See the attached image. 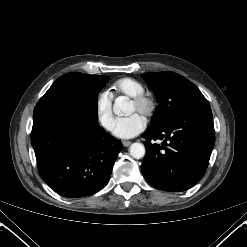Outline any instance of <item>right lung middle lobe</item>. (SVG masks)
<instances>
[{
	"instance_id": "dd1d6c3e",
	"label": "right lung middle lobe",
	"mask_w": 247,
	"mask_h": 247,
	"mask_svg": "<svg viewBox=\"0 0 247 247\" xmlns=\"http://www.w3.org/2000/svg\"><path fill=\"white\" fill-rule=\"evenodd\" d=\"M109 78L106 76L87 75L78 72L67 73L58 78L44 96L61 95L75 98L97 100Z\"/></svg>"
}]
</instances>
